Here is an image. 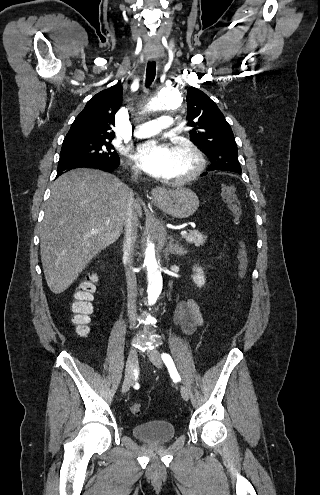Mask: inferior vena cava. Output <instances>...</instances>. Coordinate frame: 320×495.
Instances as JSON below:
<instances>
[{
    "label": "inferior vena cava",
    "instance_id": "inferior-vena-cava-1",
    "mask_svg": "<svg viewBox=\"0 0 320 495\" xmlns=\"http://www.w3.org/2000/svg\"><path fill=\"white\" fill-rule=\"evenodd\" d=\"M139 171L135 170L134 175L138 176ZM138 217L135 207L134 194L132 191L128 192V206L125 219V232H124V256L127 257L125 263L126 282H127V311L130 322H133L136 317V298H137V282L136 275L132 271V257L134 252V245L137 238Z\"/></svg>",
    "mask_w": 320,
    "mask_h": 495
}]
</instances>
